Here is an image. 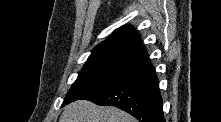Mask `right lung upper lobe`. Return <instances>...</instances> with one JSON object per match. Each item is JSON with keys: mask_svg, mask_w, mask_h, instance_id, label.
Returning a JSON list of instances; mask_svg holds the SVG:
<instances>
[{"mask_svg": "<svg viewBox=\"0 0 221 122\" xmlns=\"http://www.w3.org/2000/svg\"><path fill=\"white\" fill-rule=\"evenodd\" d=\"M145 57H147V54L141 48L136 31L131 26H123L97 45L87 61L102 58H122L139 62Z\"/></svg>", "mask_w": 221, "mask_h": 122, "instance_id": "1", "label": "right lung upper lobe"}]
</instances>
